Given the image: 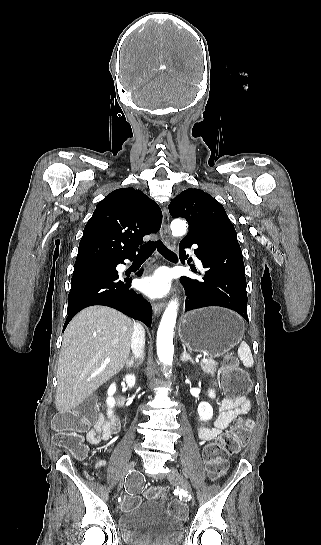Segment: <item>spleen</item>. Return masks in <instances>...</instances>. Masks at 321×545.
<instances>
[{
	"label": "spleen",
	"mask_w": 321,
	"mask_h": 545,
	"mask_svg": "<svg viewBox=\"0 0 321 545\" xmlns=\"http://www.w3.org/2000/svg\"><path fill=\"white\" fill-rule=\"evenodd\" d=\"M238 357H240V361H242L244 367H253L254 361L252 353L250 351V347H248L245 341H242L238 349Z\"/></svg>",
	"instance_id": "spleen-1"
}]
</instances>
